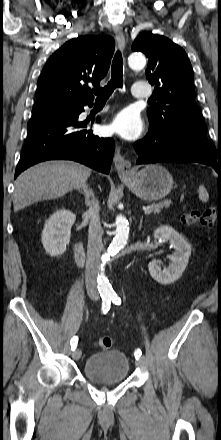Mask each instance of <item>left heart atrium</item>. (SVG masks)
Instances as JSON below:
<instances>
[{
    "instance_id": "39dd6f15",
    "label": "left heart atrium",
    "mask_w": 221,
    "mask_h": 440,
    "mask_svg": "<svg viewBox=\"0 0 221 440\" xmlns=\"http://www.w3.org/2000/svg\"><path fill=\"white\" fill-rule=\"evenodd\" d=\"M110 131L125 139H136L142 132V121L132 109L122 110L110 124Z\"/></svg>"
}]
</instances>
